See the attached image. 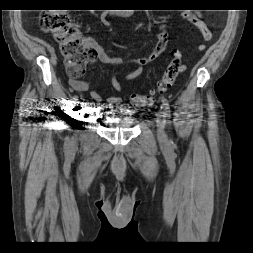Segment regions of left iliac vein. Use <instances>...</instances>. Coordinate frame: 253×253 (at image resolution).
Masks as SVG:
<instances>
[{"label": "left iliac vein", "mask_w": 253, "mask_h": 253, "mask_svg": "<svg viewBox=\"0 0 253 253\" xmlns=\"http://www.w3.org/2000/svg\"><path fill=\"white\" fill-rule=\"evenodd\" d=\"M157 136L160 142H165L167 140V136L165 132V119H163L162 114H158Z\"/></svg>", "instance_id": "1"}]
</instances>
